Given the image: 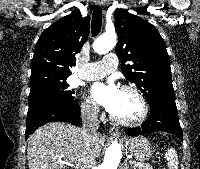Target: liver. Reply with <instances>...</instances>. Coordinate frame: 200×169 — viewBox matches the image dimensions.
<instances>
[{
    "label": "liver",
    "instance_id": "6515ba94",
    "mask_svg": "<svg viewBox=\"0 0 200 169\" xmlns=\"http://www.w3.org/2000/svg\"><path fill=\"white\" fill-rule=\"evenodd\" d=\"M104 137L92 138L90 156L94 159L104 146ZM29 169H65L62 161L74 163L81 169L83 158L87 155L81 129L69 123L50 122L39 127L28 138Z\"/></svg>",
    "mask_w": 200,
    "mask_h": 169
}]
</instances>
